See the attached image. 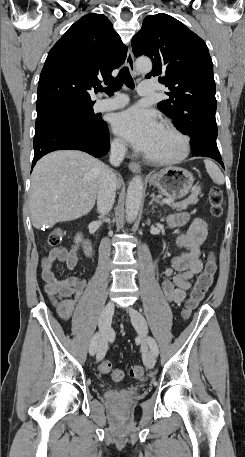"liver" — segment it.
I'll use <instances>...</instances> for the list:
<instances>
[{
	"label": "liver",
	"mask_w": 245,
	"mask_h": 457,
	"mask_svg": "<svg viewBox=\"0 0 245 457\" xmlns=\"http://www.w3.org/2000/svg\"><path fill=\"white\" fill-rule=\"evenodd\" d=\"M102 170H108L106 164L82 150H55L42 156L31 174L29 210L35 229L88 214Z\"/></svg>",
	"instance_id": "obj_1"
}]
</instances>
